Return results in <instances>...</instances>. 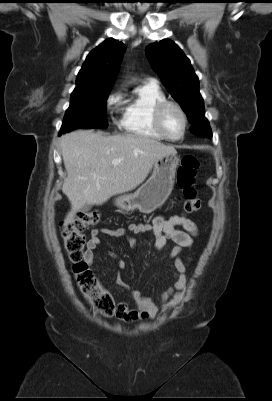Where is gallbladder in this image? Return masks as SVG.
Returning a JSON list of instances; mask_svg holds the SVG:
<instances>
[{
	"instance_id": "1",
	"label": "gallbladder",
	"mask_w": 272,
	"mask_h": 401,
	"mask_svg": "<svg viewBox=\"0 0 272 401\" xmlns=\"http://www.w3.org/2000/svg\"><path fill=\"white\" fill-rule=\"evenodd\" d=\"M91 209V205L90 204H85L82 208H81V212H88Z\"/></svg>"
}]
</instances>
